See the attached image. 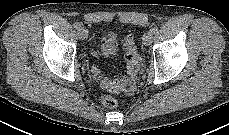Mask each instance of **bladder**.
Segmentation results:
<instances>
[{
    "instance_id": "31cf9c89",
    "label": "bladder",
    "mask_w": 229,
    "mask_h": 135,
    "mask_svg": "<svg viewBox=\"0 0 229 135\" xmlns=\"http://www.w3.org/2000/svg\"><path fill=\"white\" fill-rule=\"evenodd\" d=\"M118 45L117 41L113 39L112 41L106 43L103 48V55L106 58H113L117 55Z\"/></svg>"
}]
</instances>
